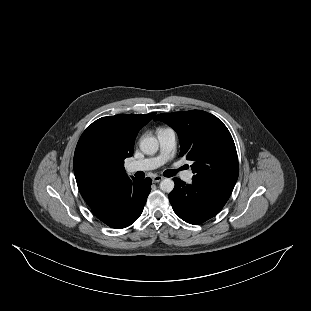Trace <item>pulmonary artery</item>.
I'll return each instance as SVG.
<instances>
[{"mask_svg": "<svg viewBox=\"0 0 311 311\" xmlns=\"http://www.w3.org/2000/svg\"><path fill=\"white\" fill-rule=\"evenodd\" d=\"M159 142V154L153 158H146L139 161H134L128 164L127 171L129 173L147 172L157 169L165 164L175 153L176 134L171 128H161L156 132ZM193 171L187 170L182 173L181 178L185 182H191Z\"/></svg>", "mask_w": 311, "mask_h": 311, "instance_id": "e3ab8cb5", "label": "pulmonary artery"}]
</instances>
